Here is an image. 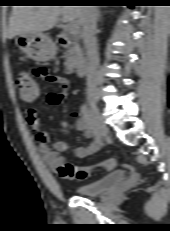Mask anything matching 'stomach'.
<instances>
[{
    "label": "stomach",
    "instance_id": "stomach-1",
    "mask_svg": "<svg viewBox=\"0 0 170 231\" xmlns=\"http://www.w3.org/2000/svg\"><path fill=\"white\" fill-rule=\"evenodd\" d=\"M15 43L21 52L35 61H48L56 54L55 44L43 33L24 32L17 35Z\"/></svg>",
    "mask_w": 170,
    "mask_h": 231
}]
</instances>
